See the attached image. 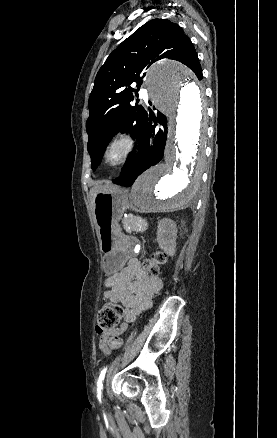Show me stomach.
<instances>
[{"mask_svg": "<svg viewBox=\"0 0 277 438\" xmlns=\"http://www.w3.org/2000/svg\"><path fill=\"white\" fill-rule=\"evenodd\" d=\"M129 208L125 189L114 187L99 192L94 197V217L98 240L107 274L120 271L130 258L132 240L121 233L118 223Z\"/></svg>", "mask_w": 277, "mask_h": 438, "instance_id": "1", "label": "stomach"}]
</instances>
